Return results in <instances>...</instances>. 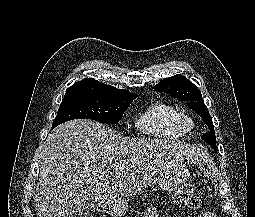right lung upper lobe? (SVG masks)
Instances as JSON below:
<instances>
[{"label":"right lung upper lobe","mask_w":255,"mask_h":217,"mask_svg":"<svg viewBox=\"0 0 255 217\" xmlns=\"http://www.w3.org/2000/svg\"><path fill=\"white\" fill-rule=\"evenodd\" d=\"M66 91H90V92H100V93H111V94H124V95H135L130 93L125 89H117L113 86L106 85L104 83L98 82L95 79H84L76 82Z\"/></svg>","instance_id":"right-lung-upper-lobe-1"}]
</instances>
